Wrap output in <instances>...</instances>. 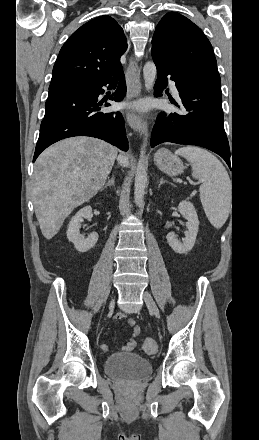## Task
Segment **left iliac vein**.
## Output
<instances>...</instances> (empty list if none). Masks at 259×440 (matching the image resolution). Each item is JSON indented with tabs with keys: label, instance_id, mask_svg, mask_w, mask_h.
I'll return each instance as SVG.
<instances>
[{
	"label": "left iliac vein",
	"instance_id": "left-iliac-vein-1",
	"mask_svg": "<svg viewBox=\"0 0 259 440\" xmlns=\"http://www.w3.org/2000/svg\"><path fill=\"white\" fill-rule=\"evenodd\" d=\"M143 299L148 307V309L157 317H160L159 309L151 296V294L147 291L143 293Z\"/></svg>",
	"mask_w": 259,
	"mask_h": 440
}]
</instances>
